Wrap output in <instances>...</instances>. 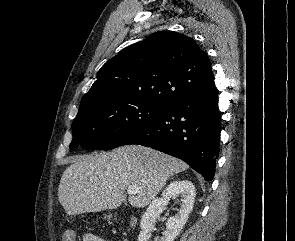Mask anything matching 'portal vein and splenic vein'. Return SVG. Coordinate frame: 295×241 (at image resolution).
Listing matches in <instances>:
<instances>
[{
	"instance_id": "obj_1",
	"label": "portal vein and splenic vein",
	"mask_w": 295,
	"mask_h": 241,
	"mask_svg": "<svg viewBox=\"0 0 295 241\" xmlns=\"http://www.w3.org/2000/svg\"><path fill=\"white\" fill-rule=\"evenodd\" d=\"M140 190V187L138 186H131L127 189V192L129 195H133V194H136L137 192H139Z\"/></svg>"
}]
</instances>
